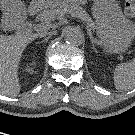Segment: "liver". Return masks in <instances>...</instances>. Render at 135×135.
Wrapping results in <instances>:
<instances>
[{"instance_id": "liver-1", "label": "liver", "mask_w": 135, "mask_h": 135, "mask_svg": "<svg viewBox=\"0 0 135 135\" xmlns=\"http://www.w3.org/2000/svg\"><path fill=\"white\" fill-rule=\"evenodd\" d=\"M36 37L0 35V94L14 97L20 92L19 62L26 46Z\"/></svg>"}]
</instances>
